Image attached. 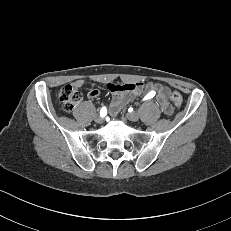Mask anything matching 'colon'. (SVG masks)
Returning <instances> with one entry per match:
<instances>
[{"instance_id": "1", "label": "colon", "mask_w": 231, "mask_h": 231, "mask_svg": "<svg viewBox=\"0 0 231 231\" xmlns=\"http://www.w3.org/2000/svg\"><path fill=\"white\" fill-rule=\"evenodd\" d=\"M173 104L180 107L183 103L182 95L173 91L170 95ZM83 98L81 91L74 85H66L62 87L58 93V99L64 111H71Z\"/></svg>"}]
</instances>
